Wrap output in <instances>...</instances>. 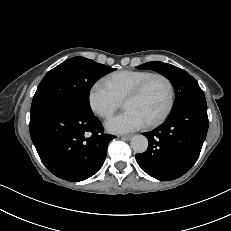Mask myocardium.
Listing matches in <instances>:
<instances>
[{
  "label": "myocardium",
  "mask_w": 231,
  "mask_h": 231,
  "mask_svg": "<svg viewBox=\"0 0 231 231\" xmlns=\"http://www.w3.org/2000/svg\"><path fill=\"white\" fill-rule=\"evenodd\" d=\"M158 78L163 79L168 84L170 91L169 102L166 109L159 117L147 123L149 127H155L163 123L169 117L174 108L176 100V89L172 79L163 73H153L151 76L145 79L140 85H138L131 93H129L128 96L125 98L126 102L128 100H133L141 97L147 90L149 85L152 83V81Z\"/></svg>",
  "instance_id": "1"
}]
</instances>
